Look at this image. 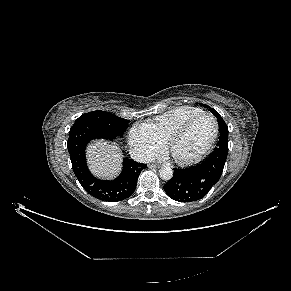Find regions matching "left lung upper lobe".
I'll use <instances>...</instances> for the list:
<instances>
[{
    "mask_svg": "<svg viewBox=\"0 0 291 291\" xmlns=\"http://www.w3.org/2000/svg\"><path fill=\"white\" fill-rule=\"evenodd\" d=\"M202 106L209 108L211 113L217 118L219 128H220V136H223L224 138L228 139V127L226 123L224 122V120L222 119V117L218 114V112L215 109L210 108L209 106L205 104H202Z\"/></svg>",
    "mask_w": 291,
    "mask_h": 291,
    "instance_id": "1",
    "label": "left lung upper lobe"
}]
</instances>
